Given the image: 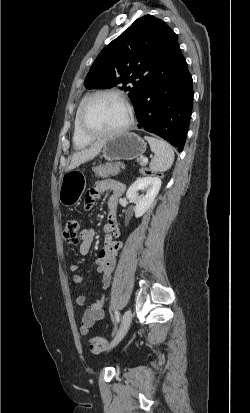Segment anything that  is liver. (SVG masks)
<instances>
[{
  "label": "liver",
  "instance_id": "6515ba94",
  "mask_svg": "<svg viewBox=\"0 0 250 413\" xmlns=\"http://www.w3.org/2000/svg\"><path fill=\"white\" fill-rule=\"evenodd\" d=\"M104 142L105 141H97L89 148L75 152L71 157L70 165L67 167L66 171H71L81 164L95 158V156H97L101 152Z\"/></svg>",
  "mask_w": 250,
  "mask_h": 413
}]
</instances>
